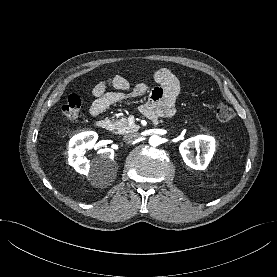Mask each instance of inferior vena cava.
I'll use <instances>...</instances> for the list:
<instances>
[{
	"label": "inferior vena cava",
	"instance_id": "602c4592",
	"mask_svg": "<svg viewBox=\"0 0 277 277\" xmlns=\"http://www.w3.org/2000/svg\"><path fill=\"white\" fill-rule=\"evenodd\" d=\"M139 137H140L139 133L132 132V133L125 134L123 137V140L127 143H132L135 140H137Z\"/></svg>",
	"mask_w": 277,
	"mask_h": 277
}]
</instances>
